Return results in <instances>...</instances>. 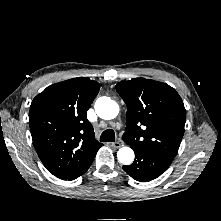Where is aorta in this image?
I'll return each instance as SVG.
<instances>
[{
  "label": "aorta",
  "instance_id": "aorta-1",
  "mask_svg": "<svg viewBox=\"0 0 221 221\" xmlns=\"http://www.w3.org/2000/svg\"><path fill=\"white\" fill-rule=\"evenodd\" d=\"M97 115L105 120L114 119L119 113V105L109 97H100L95 102ZM120 163L130 165L134 161V152L129 147H122L117 152Z\"/></svg>",
  "mask_w": 221,
  "mask_h": 221
}]
</instances>
